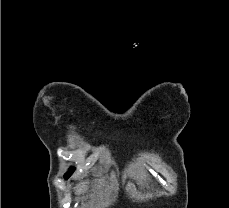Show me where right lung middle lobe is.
<instances>
[{"label":"right lung middle lobe","instance_id":"obj_1","mask_svg":"<svg viewBox=\"0 0 229 208\" xmlns=\"http://www.w3.org/2000/svg\"><path fill=\"white\" fill-rule=\"evenodd\" d=\"M73 172H74V168L69 169V171L64 175V177L65 178L70 177Z\"/></svg>","mask_w":229,"mask_h":208}]
</instances>
